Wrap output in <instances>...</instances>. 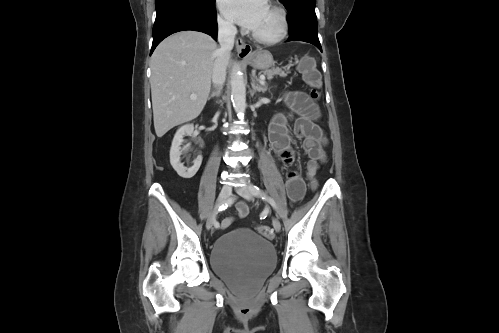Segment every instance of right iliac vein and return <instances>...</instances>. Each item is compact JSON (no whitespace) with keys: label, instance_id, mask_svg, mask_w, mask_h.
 <instances>
[{"label":"right iliac vein","instance_id":"obj_1","mask_svg":"<svg viewBox=\"0 0 499 333\" xmlns=\"http://www.w3.org/2000/svg\"><path fill=\"white\" fill-rule=\"evenodd\" d=\"M231 193H232V188L230 185L226 184L222 187L220 194L218 196V199H217L216 206H215L214 210L211 212V214L206 222V228L208 230H210L213 227V224H214L215 219H216L218 207L230 197Z\"/></svg>","mask_w":499,"mask_h":333}]
</instances>
